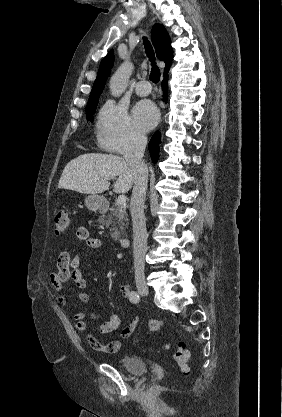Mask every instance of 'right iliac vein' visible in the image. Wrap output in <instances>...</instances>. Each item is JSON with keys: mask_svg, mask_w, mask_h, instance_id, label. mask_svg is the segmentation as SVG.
<instances>
[{"mask_svg": "<svg viewBox=\"0 0 282 417\" xmlns=\"http://www.w3.org/2000/svg\"><path fill=\"white\" fill-rule=\"evenodd\" d=\"M137 289H138V292L143 296H147L149 294L148 287L145 283H139L137 285Z\"/></svg>", "mask_w": 282, "mask_h": 417, "instance_id": "obj_1", "label": "right iliac vein"}]
</instances>
